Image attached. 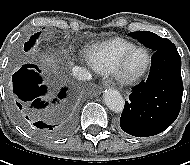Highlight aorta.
<instances>
[{"instance_id":"aorta-1","label":"aorta","mask_w":190,"mask_h":165,"mask_svg":"<svg viewBox=\"0 0 190 165\" xmlns=\"http://www.w3.org/2000/svg\"><path fill=\"white\" fill-rule=\"evenodd\" d=\"M104 102L107 107L115 113H121L124 109V99L116 89H106L104 92Z\"/></svg>"}]
</instances>
